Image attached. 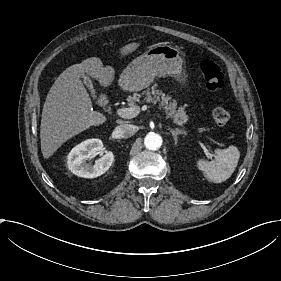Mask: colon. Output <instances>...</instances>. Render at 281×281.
Listing matches in <instances>:
<instances>
[{
    "instance_id": "colon-1",
    "label": "colon",
    "mask_w": 281,
    "mask_h": 281,
    "mask_svg": "<svg viewBox=\"0 0 281 281\" xmlns=\"http://www.w3.org/2000/svg\"><path fill=\"white\" fill-rule=\"evenodd\" d=\"M200 70L202 72L207 88L218 90L225 84V76L219 67L210 60L201 62ZM230 119L229 113L224 109H217L214 112V120L217 125L225 126Z\"/></svg>"
}]
</instances>
